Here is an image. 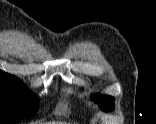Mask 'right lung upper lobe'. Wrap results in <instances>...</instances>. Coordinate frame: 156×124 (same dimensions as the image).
Listing matches in <instances>:
<instances>
[{
    "mask_svg": "<svg viewBox=\"0 0 156 124\" xmlns=\"http://www.w3.org/2000/svg\"><path fill=\"white\" fill-rule=\"evenodd\" d=\"M0 77H10V78L18 79V78L14 77V76H12L10 74H7V73H5V72H3L1 70H0Z\"/></svg>",
    "mask_w": 156,
    "mask_h": 124,
    "instance_id": "obj_1",
    "label": "right lung upper lobe"
}]
</instances>
